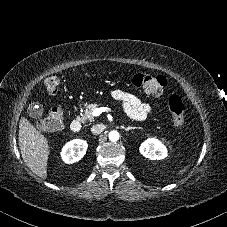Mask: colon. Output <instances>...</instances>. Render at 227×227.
<instances>
[{
  "mask_svg": "<svg viewBox=\"0 0 227 227\" xmlns=\"http://www.w3.org/2000/svg\"><path fill=\"white\" fill-rule=\"evenodd\" d=\"M63 82L61 74L56 73L45 79L44 85L49 93L55 94ZM132 84L146 93L161 95L166 87V79L163 76L136 73L132 77ZM169 111L172 123L175 127H181L186 122L185 107L178 95H172L169 99ZM65 115L60 107L52 108L46 117L41 119L38 127L43 132H57L65 123Z\"/></svg>",
  "mask_w": 227,
  "mask_h": 227,
  "instance_id": "colon-1",
  "label": "colon"
}]
</instances>
